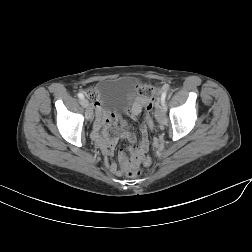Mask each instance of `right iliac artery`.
Masks as SVG:
<instances>
[{
    "mask_svg": "<svg viewBox=\"0 0 252 252\" xmlns=\"http://www.w3.org/2000/svg\"><path fill=\"white\" fill-rule=\"evenodd\" d=\"M77 96L80 98V99H84V95L82 93H78Z\"/></svg>",
    "mask_w": 252,
    "mask_h": 252,
    "instance_id": "right-iliac-artery-1",
    "label": "right iliac artery"
}]
</instances>
